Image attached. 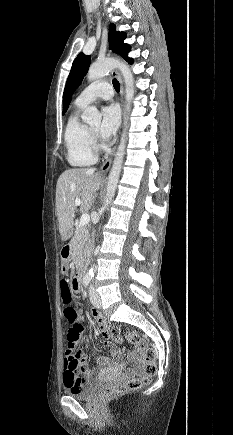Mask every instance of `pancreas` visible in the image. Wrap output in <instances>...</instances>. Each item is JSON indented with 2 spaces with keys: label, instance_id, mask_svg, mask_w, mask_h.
Instances as JSON below:
<instances>
[{
  "label": "pancreas",
  "instance_id": "obj_1",
  "mask_svg": "<svg viewBox=\"0 0 233 435\" xmlns=\"http://www.w3.org/2000/svg\"><path fill=\"white\" fill-rule=\"evenodd\" d=\"M88 244V229L79 225L76 228L75 235L71 241L72 255L75 266L78 268L83 263Z\"/></svg>",
  "mask_w": 233,
  "mask_h": 435
}]
</instances>
